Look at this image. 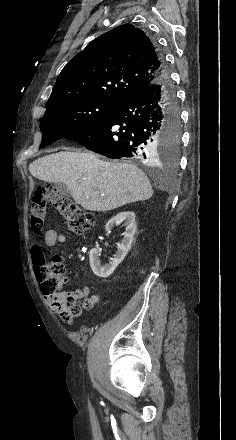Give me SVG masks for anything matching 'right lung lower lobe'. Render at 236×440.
Returning <instances> with one entry per match:
<instances>
[{"mask_svg":"<svg viewBox=\"0 0 236 440\" xmlns=\"http://www.w3.org/2000/svg\"><path fill=\"white\" fill-rule=\"evenodd\" d=\"M162 75L151 85L122 102L91 128L67 139L113 159L132 158L151 163L153 146L166 130L180 127V114L163 57Z\"/></svg>","mask_w":236,"mask_h":440,"instance_id":"1","label":"right lung lower lobe"}]
</instances>
